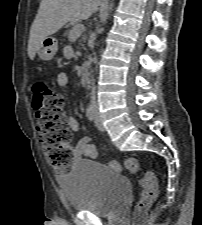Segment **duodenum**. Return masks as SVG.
<instances>
[{"label": "duodenum", "mask_w": 202, "mask_h": 225, "mask_svg": "<svg viewBox=\"0 0 202 225\" xmlns=\"http://www.w3.org/2000/svg\"><path fill=\"white\" fill-rule=\"evenodd\" d=\"M90 73H89V64L84 62L81 67V81L83 84L89 83Z\"/></svg>", "instance_id": "duodenum-1"}]
</instances>
